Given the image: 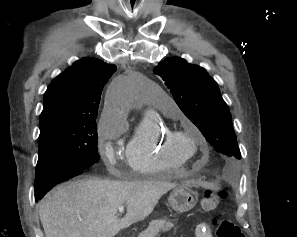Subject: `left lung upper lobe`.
Here are the masks:
<instances>
[{
	"mask_svg": "<svg viewBox=\"0 0 297 237\" xmlns=\"http://www.w3.org/2000/svg\"><path fill=\"white\" fill-rule=\"evenodd\" d=\"M153 73L163 79L180 109L217 152L241 158L229 108L205 69L175 57L160 63Z\"/></svg>",
	"mask_w": 297,
	"mask_h": 237,
	"instance_id": "1",
	"label": "left lung upper lobe"
}]
</instances>
